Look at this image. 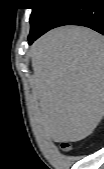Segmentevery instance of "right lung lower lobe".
<instances>
[{
	"label": "right lung lower lobe",
	"instance_id": "1",
	"mask_svg": "<svg viewBox=\"0 0 104 169\" xmlns=\"http://www.w3.org/2000/svg\"><path fill=\"white\" fill-rule=\"evenodd\" d=\"M63 25H81L104 34V0H57V8L43 25L31 31V44L48 30Z\"/></svg>",
	"mask_w": 104,
	"mask_h": 169
}]
</instances>
